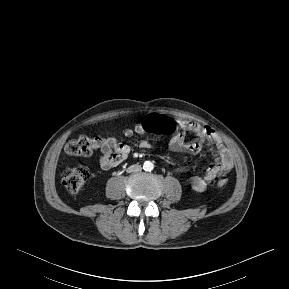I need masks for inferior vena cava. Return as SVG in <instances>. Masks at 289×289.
I'll use <instances>...</instances> for the list:
<instances>
[{"label":"inferior vena cava","mask_w":289,"mask_h":289,"mask_svg":"<svg viewBox=\"0 0 289 289\" xmlns=\"http://www.w3.org/2000/svg\"><path fill=\"white\" fill-rule=\"evenodd\" d=\"M141 166L140 165H138V164H134V165H131V166H129L128 168H127V172L128 173H131V172H139V171H141Z\"/></svg>","instance_id":"inferior-vena-cava-1"}]
</instances>
